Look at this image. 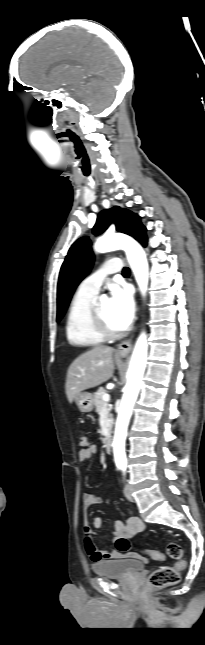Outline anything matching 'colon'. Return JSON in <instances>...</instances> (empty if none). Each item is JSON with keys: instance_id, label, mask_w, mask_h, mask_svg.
I'll use <instances>...</instances> for the list:
<instances>
[{"instance_id": "5ec220e1", "label": "colon", "mask_w": 205, "mask_h": 645, "mask_svg": "<svg viewBox=\"0 0 205 645\" xmlns=\"http://www.w3.org/2000/svg\"><path fill=\"white\" fill-rule=\"evenodd\" d=\"M78 443L82 449H87L90 446V442L85 435L79 436ZM115 547L118 551L126 553L130 550L131 543L126 538H119L115 543ZM143 554L154 560H162L164 558V555L156 550H144ZM167 554L176 562L173 566H162L149 575L148 583L153 588H164L177 584L180 580V573L186 567V562L183 559V551L179 544L169 541L167 544Z\"/></svg>"}]
</instances>
